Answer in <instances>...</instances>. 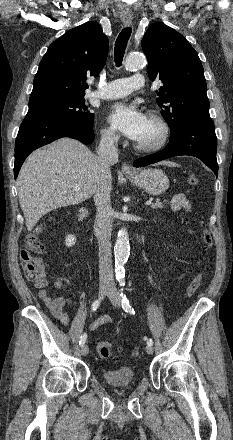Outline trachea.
Returning <instances> with one entry per match:
<instances>
[{"instance_id":"3493384b","label":"trachea","mask_w":233,"mask_h":440,"mask_svg":"<svg viewBox=\"0 0 233 440\" xmlns=\"http://www.w3.org/2000/svg\"><path fill=\"white\" fill-rule=\"evenodd\" d=\"M131 32H132L131 27H126L122 29V31L120 32V34L116 39L114 58H115L116 66L118 67L121 66L122 64L124 53L127 47V42L130 38Z\"/></svg>"}]
</instances>
